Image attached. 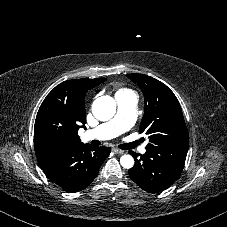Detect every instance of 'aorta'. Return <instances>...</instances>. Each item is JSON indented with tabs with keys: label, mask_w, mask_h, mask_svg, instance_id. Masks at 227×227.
<instances>
[{
	"label": "aorta",
	"mask_w": 227,
	"mask_h": 227,
	"mask_svg": "<svg viewBox=\"0 0 227 227\" xmlns=\"http://www.w3.org/2000/svg\"><path fill=\"white\" fill-rule=\"evenodd\" d=\"M92 112L96 119L107 121L111 119L116 112V103L112 97L102 96L97 98L92 104ZM120 163L123 168L130 169L134 165V159L131 155L121 156Z\"/></svg>",
	"instance_id": "1"
}]
</instances>
